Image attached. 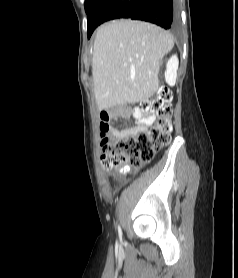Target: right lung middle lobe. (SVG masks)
Wrapping results in <instances>:
<instances>
[{"label": "right lung middle lobe", "mask_w": 238, "mask_h": 278, "mask_svg": "<svg viewBox=\"0 0 238 278\" xmlns=\"http://www.w3.org/2000/svg\"><path fill=\"white\" fill-rule=\"evenodd\" d=\"M95 1L96 0H85L84 7H85L86 13L89 11V9L91 8V6L94 4Z\"/></svg>", "instance_id": "dd1d6c3e"}]
</instances>
